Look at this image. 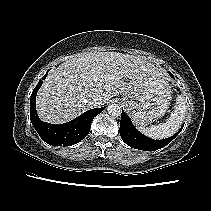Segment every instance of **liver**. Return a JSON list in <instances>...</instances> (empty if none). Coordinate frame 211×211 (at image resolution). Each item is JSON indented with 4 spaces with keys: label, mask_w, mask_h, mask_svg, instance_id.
<instances>
[{
    "label": "liver",
    "mask_w": 211,
    "mask_h": 211,
    "mask_svg": "<svg viewBox=\"0 0 211 211\" xmlns=\"http://www.w3.org/2000/svg\"><path fill=\"white\" fill-rule=\"evenodd\" d=\"M165 73L145 59L117 52H94L65 61L50 73L40 88L37 112L41 120L61 124L91 108L90 99L102 104L119 93L144 99L168 88Z\"/></svg>",
    "instance_id": "obj_1"
}]
</instances>
